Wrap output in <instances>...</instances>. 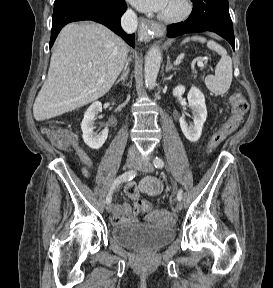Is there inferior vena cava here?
Segmentation results:
<instances>
[{
	"mask_svg": "<svg viewBox=\"0 0 273 288\" xmlns=\"http://www.w3.org/2000/svg\"><path fill=\"white\" fill-rule=\"evenodd\" d=\"M121 25L122 28L127 32V33H133L136 31L137 29V25H138V20H137V16L134 13L133 10L128 9L124 15L121 18ZM128 65V62L126 63V67ZM135 152V148L131 147L130 149V154Z\"/></svg>",
	"mask_w": 273,
	"mask_h": 288,
	"instance_id": "obj_1",
	"label": "inferior vena cava"
}]
</instances>
